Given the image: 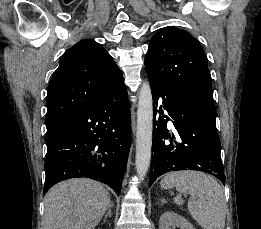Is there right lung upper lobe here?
I'll list each match as a JSON object with an SVG mask.
<instances>
[{
    "label": "right lung upper lobe",
    "mask_w": 261,
    "mask_h": 229,
    "mask_svg": "<svg viewBox=\"0 0 261 229\" xmlns=\"http://www.w3.org/2000/svg\"><path fill=\"white\" fill-rule=\"evenodd\" d=\"M120 69L97 42L83 39L59 61L47 94V131L103 98L123 82Z\"/></svg>",
    "instance_id": "right-lung-upper-lobe-1"
}]
</instances>
